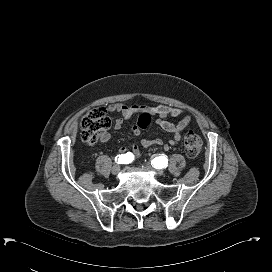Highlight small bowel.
I'll return each mask as SVG.
<instances>
[{"label": "small bowel", "instance_id": "c3829d8e", "mask_svg": "<svg viewBox=\"0 0 272 272\" xmlns=\"http://www.w3.org/2000/svg\"><path fill=\"white\" fill-rule=\"evenodd\" d=\"M107 110L111 113L119 114L120 117L114 122V129L120 130L124 122L136 113L146 112L149 115L156 117L155 123L163 128L164 130L173 134V137L169 140L168 144H165L162 139H143L140 146L147 149L152 146H163L165 150L168 149L169 145H175L181 140V132L189 125L190 116L187 115L182 109L174 108L166 105L159 106H145V105H125L122 103H115L108 106ZM182 116L181 121L178 123H173L169 120L170 117ZM149 122L142 124L137 123L133 126V133L139 135L141 131L147 127ZM111 135L109 132L105 131L100 135L101 142H107ZM140 146L138 144H133L131 150L136 158L140 157ZM129 150L126 146H121L119 148L120 153H126Z\"/></svg>", "mask_w": 272, "mask_h": 272}]
</instances>
